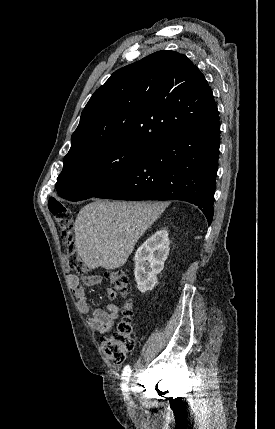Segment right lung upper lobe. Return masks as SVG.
Masks as SVG:
<instances>
[{
  "instance_id": "1",
  "label": "right lung upper lobe",
  "mask_w": 275,
  "mask_h": 429,
  "mask_svg": "<svg viewBox=\"0 0 275 429\" xmlns=\"http://www.w3.org/2000/svg\"><path fill=\"white\" fill-rule=\"evenodd\" d=\"M217 119L213 93L199 69L183 54L158 51L117 70L95 91L64 164L116 144L150 147Z\"/></svg>"
}]
</instances>
